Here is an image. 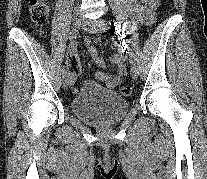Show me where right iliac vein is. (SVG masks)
Returning a JSON list of instances; mask_svg holds the SVG:
<instances>
[{"label": "right iliac vein", "mask_w": 207, "mask_h": 179, "mask_svg": "<svg viewBox=\"0 0 207 179\" xmlns=\"http://www.w3.org/2000/svg\"><path fill=\"white\" fill-rule=\"evenodd\" d=\"M82 22V17L81 14L78 12H74L72 15V24H73V28H79ZM70 84V78L65 74L62 77V86L64 88H67Z\"/></svg>", "instance_id": "obj_1"}]
</instances>
